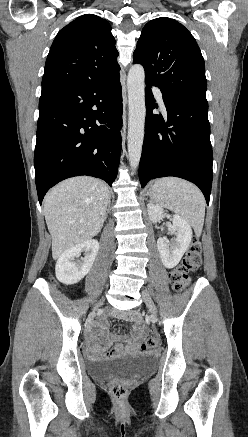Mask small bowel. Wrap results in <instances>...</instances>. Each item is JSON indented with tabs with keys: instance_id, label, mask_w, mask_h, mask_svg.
Wrapping results in <instances>:
<instances>
[{
	"instance_id": "small-bowel-1",
	"label": "small bowel",
	"mask_w": 248,
	"mask_h": 437,
	"mask_svg": "<svg viewBox=\"0 0 248 437\" xmlns=\"http://www.w3.org/2000/svg\"><path fill=\"white\" fill-rule=\"evenodd\" d=\"M143 329L137 327L135 332L127 337L120 338L110 333L105 321L98 325L95 335L88 341L87 355L91 358H105L121 351H136L138 348V339L142 336ZM118 343L108 352L113 342Z\"/></svg>"
}]
</instances>
